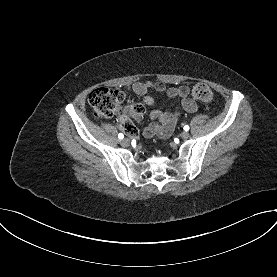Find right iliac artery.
Wrapping results in <instances>:
<instances>
[{
    "mask_svg": "<svg viewBox=\"0 0 277 277\" xmlns=\"http://www.w3.org/2000/svg\"><path fill=\"white\" fill-rule=\"evenodd\" d=\"M118 138H119V139H123V138H124V135H123L122 133H119V134H118Z\"/></svg>",
    "mask_w": 277,
    "mask_h": 277,
    "instance_id": "right-iliac-artery-1",
    "label": "right iliac artery"
}]
</instances>
